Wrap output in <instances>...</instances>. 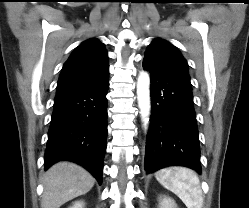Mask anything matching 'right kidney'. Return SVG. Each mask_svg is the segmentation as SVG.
<instances>
[{"label": "right kidney", "mask_w": 249, "mask_h": 208, "mask_svg": "<svg viewBox=\"0 0 249 208\" xmlns=\"http://www.w3.org/2000/svg\"><path fill=\"white\" fill-rule=\"evenodd\" d=\"M83 202H81V201H77V202H75L74 203V205L72 206V207H70V208H83Z\"/></svg>", "instance_id": "right-kidney-1"}]
</instances>
